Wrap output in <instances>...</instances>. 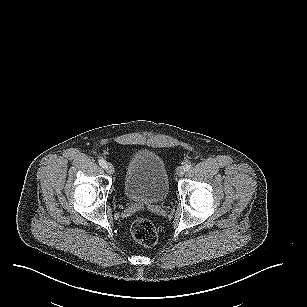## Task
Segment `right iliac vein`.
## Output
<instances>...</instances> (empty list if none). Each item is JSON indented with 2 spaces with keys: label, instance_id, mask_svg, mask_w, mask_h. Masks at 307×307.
<instances>
[{
  "label": "right iliac vein",
  "instance_id": "63e3f726",
  "mask_svg": "<svg viewBox=\"0 0 307 307\" xmlns=\"http://www.w3.org/2000/svg\"><path fill=\"white\" fill-rule=\"evenodd\" d=\"M105 169H106L107 173L110 174V175H113L114 172H115V168H114L113 164H111V163H107L106 166H105Z\"/></svg>",
  "mask_w": 307,
  "mask_h": 307
}]
</instances>
